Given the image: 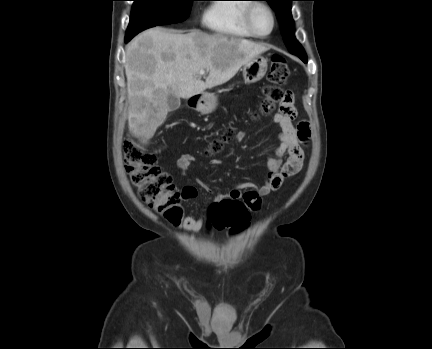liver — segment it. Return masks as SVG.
<instances>
[{
    "mask_svg": "<svg viewBox=\"0 0 432 349\" xmlns=\"http://www.w3.org/2000/svg\"><path fill=\"white\" fill-rule=\"evenodd\" d=\"M265 44L199 30L183 34L156 27L126 47L129 130L147 143L168 114L170 94L188 99L229 81ZM201 70L209 71L205 82Z\"/></svg>",
    "mask_w": 432,
    "mask_h": 349,
    "instance_id": "1",
    "label": "liver"
}]
</instances>
